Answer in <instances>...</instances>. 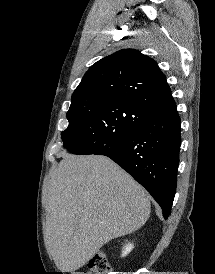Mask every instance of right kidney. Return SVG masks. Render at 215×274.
I'll list each match as a JSON object with an SVG mask.
<instances>
[{
  "label": "right kidney",
  "mask_w": 215,
  "mask_h": 274,
  "mask_svg": "<svg viewBox=\"0 0 215 274\" xmlns=\"http://www.w3.org/2000/svg\"><path fill=\"white\" fill-rule=\"evenodd\" d=\"M133 244L128 243L123 247L122 250V257H125L132 249H133Z\"/></svg>",
  "instance_id": "ca27d5eb"
}]
</instances>
